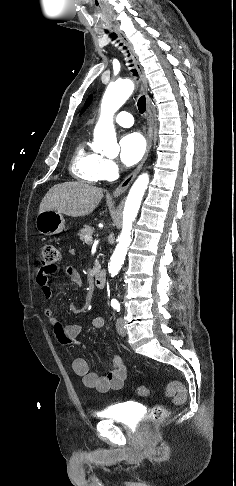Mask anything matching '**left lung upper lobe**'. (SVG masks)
Here are the masks:
<instances>
[{
	"mask_svg": "<svg viewBox=\"0 0 236 486\" xmlns=\"http://www.w3.org/2000/svg\"><path fill=\"white\" fill-rule=\"evenodd\" d=\"M91 96L87 99L86 103H85V108H87V106L90 104L91 102ZM83 112V111H82Z\"/></svg>",
	"mask_w": 236,
	"mask_h": 486,
	"instance_id": "obj_1",
	"label": "left lung upper lobe"
}]
</instances>
